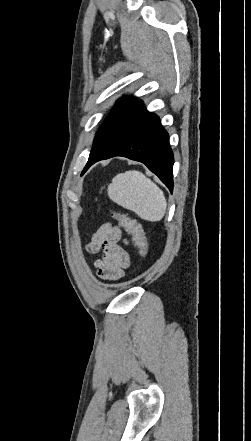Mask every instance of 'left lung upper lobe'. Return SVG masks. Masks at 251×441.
<instances>
[{
	"label": "left lung upper lobe",
	"instance_id": "obj_1",
	"mask_svg": "<svg viewBox=\"0 0 251 441\" xmlns=\"http://www.w3.org/2000/svg\"><path fill=\"white\" fill-rule=\"evenodd\" d=\"M137 102V99L132 96L121 97L114 106L110 116H122L126 114Z\"/></svg>",
	"mask_w": 251,
	"mask_h": 441
}]
</instances>
